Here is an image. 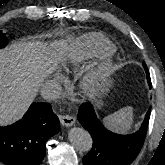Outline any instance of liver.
I'll return each instance as SVG.
<instances>
[{
	"instance_id": "obj_1",
	"label": "liver",
	"mask_w": 165,
	"mask_h": 165,
	"mask_svg": "<svg viewBox=\"0 0 165 165\" xmlns=\"http://www.w3.org/2000/svg\"><path fill=\"white\" fill-rule=\"evenodd\" d=\"M57 60L43 44L14 42L0 50V126L22 118Z\"/></svg>"
}]
</instances>
